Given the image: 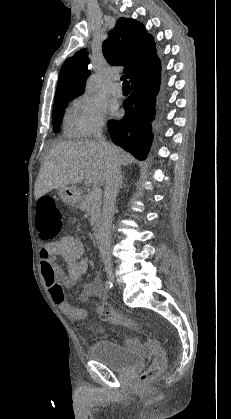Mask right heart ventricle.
Here are the masks:
<instances>
[{"label":"right heart ventricle","instance_id":"e07e8e85","mask_svg":"<svg viewBox=\"0 0 231 419\" xmlns=\"http://www.w3.org/2000/svg\"><path fill=\"white\" fill-rule=\"evenodd\" d=\"M65 132H66V134H67V135H69V136L74 135V134H73V131H72V128H71V125H70V123H69L68 117H67V120H66V122H65Z\"/></svg>","mask_w":231,"mask_h":419}]
</instances>
